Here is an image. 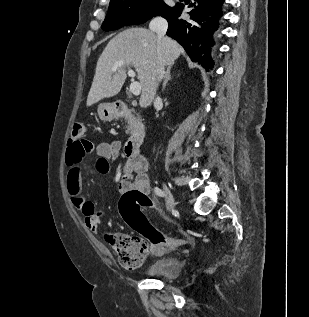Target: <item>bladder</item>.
Masks as SVG:
<instances>
[{
  "label": "bladder",
  "mask_w": 309,
  "mask_h": 317,
  "mask_svg": "<svg viewBox=\"0 0 309 317\" xmlns=\"http://www.w3.org/2000/svg\"><path fill=\"white\" fill-rule=\"evenodd\" d=\"M182 272V263L176 257H164L153 262L145 271L150 277L175 279Z\"/></svg>",
  "instance_id": "31cf9c89"
}]
</instances>
